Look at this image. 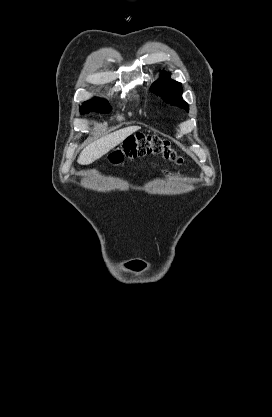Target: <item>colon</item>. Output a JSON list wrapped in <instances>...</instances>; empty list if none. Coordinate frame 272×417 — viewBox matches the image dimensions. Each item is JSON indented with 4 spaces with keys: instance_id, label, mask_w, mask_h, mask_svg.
<instances>
[{
    "instance_id": "obj_1",
    "label": "colon",
    "mask_w": 272,
    "mask_h": 417,
    "mask_svg": "<svg viewBox=\"0 0 272 417\" xmlns=\"http://www.w3.org/2000/svg\"><path fill=\"white\" fill-rule=\"evenodd\" d=\"M150 154L162 155L179 164L184 162L183 158L178 155L169 142L147 135H136L128 138L120 148L109 155V160L113 164H118L125 159H133Z\"/></svg>"
}]
</instances>
